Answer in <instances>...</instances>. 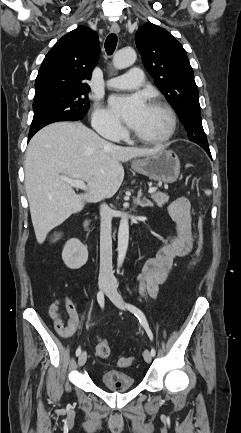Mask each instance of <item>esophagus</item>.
I'll use <instances>...</instances> for the list:
<instances>
[{"instance_id": "esophagus-1", "label": "esophagus", "mask_w": 241, "mask_h": 433, "mask_svg": "<svg viewBox=\"0 0 241 433\" xmlns=\"http://www.w3.org/2000/svg\"><path fill=\"white\" fill-rule=\"evenodd\" d=\"M110 31H111L112 33H119V32H120V27H119V25H118L117 23H113V24L111 25Z\"/></svg>"}]
</instances>
